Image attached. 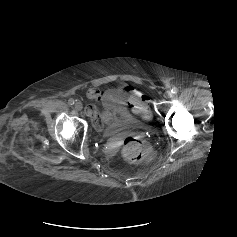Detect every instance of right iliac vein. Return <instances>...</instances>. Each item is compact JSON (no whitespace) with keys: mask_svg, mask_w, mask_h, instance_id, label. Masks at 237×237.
I'll return each instance as SVG.
<instances>
[{"mask_svg":"<svg viewBox=\"0 0 237 237\" xmlns=\"http://www.w3.org/2000/svg\"><path fill=\"white\" fill-rule=\"evenodd\" d=\"M74 107L77 111H80V110H82L83 105L81 102H76Z\"/></svg>","mask_w":237,"mask_h":237,"instance_id":"63e3f726","label":"right iliac vein"}]
</instances>
